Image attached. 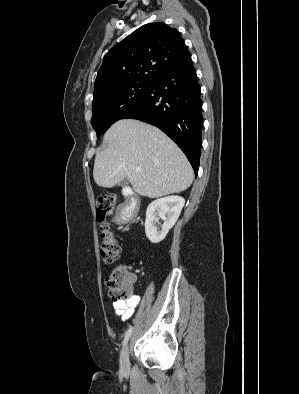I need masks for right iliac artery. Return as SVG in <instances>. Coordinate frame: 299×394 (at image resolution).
Here are the masks:
<instances>
[{
	"label": "right iliac artery",
	"mask_w": 299,
	"mask_h": 394,
	"mask_svg": "<svg viewBox=\"0 0 299 394\" xmlns=\"http://www.w3.org/2000/svg\"><path fill=\"white\" fill-rule=\"evenodd\" d=\"M132 331H133V327L130 326V328L128 329V331L125 334V337H124V340H123V346H125L126 343L128 342V340H129V338H130V336L132 334Z\"/></svg>",
	"instance_id": "1"
}]
</instances>
